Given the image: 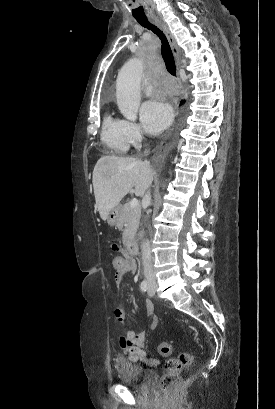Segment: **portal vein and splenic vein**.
<instances>
[{"mask_svg":"<svg viewBox=\"0 0 275 409\" xmlns=\"http://www.w3.org/2000/svg\"><path fill=\"white\" fill-rule=\"evenodd\" d=\"M138 205V200L137 198H132L131 200V207H137Z\"/></svg>","mask_w":275,"mask_h":409,"instance_id":"portal-vein-and-splenic-vein-1","label":"portal vein and splenic vein"}]
</instances>
